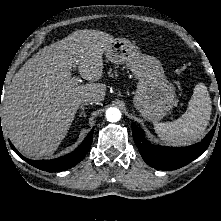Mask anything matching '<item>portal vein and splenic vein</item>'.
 Returning a JSON list of instances; mask_svg holds the SVG:
<instances>
[{"instance_id": "18ae733b", "label": "portal vein and splenic vein", "mask_w": 221, "mask_h": 221, "mask_svg": "<svg viewBox=\"0 0 221 221\" xmlns=\"http://www.w3.org/2000/svg\"><path fill=\"white\" fill-rule=\"evenodd\" d=\"M78 81H79L78 78H76V77L73 78L74 83H78Z\"/></svg>"}]
</instances>
